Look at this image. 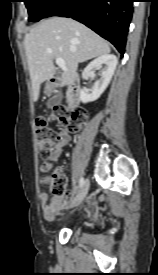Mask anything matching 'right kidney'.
Listing matches in <instances>:
<instances>
[{
    "label": "right kidney",
    "instance_id": "right-kidney-1",
    "mask_svg": "<svg viewBox=\"0 0 158 275\" xmlns=\"http://www.w3.org/2000/svg\"><path fill=\"white\" fill-rule=\"evenodd\" d=\"M118 60L115 55L106 54L93 60L83 71L82 76L85 79L94 74V70L104 65V70L101 72V78L97 80L91 90L82 89L80 91V100L83 103H88L97 100L105 91L116 69Z\"/></svg>",
    "mask_w": 158,
    "mask_h": 275
}]
</instances>
